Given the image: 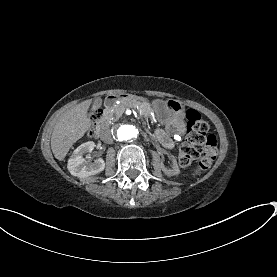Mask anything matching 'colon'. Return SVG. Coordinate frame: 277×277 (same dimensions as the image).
Segmentation results:
<instances>
[{
	"instance_id": "colon-1",
	"label": "colon",
	"mask_w": 277,
	"mask_h": 277,
	"mask_svg": "<svg viewBox=\"0 0 277 277\" xmlns=\"http://www.w3.org/2000/svg\"><path fill=\"white\" fill-rule=\"evenodd\" d=\"M102 113V108L95 109L92 112L91 120L94 122L100 120ZM185 118L187 121V136L180 147L178 165L185 168L196 164L195 173L199 174L207 170L214 162L217 139L213 135H207V124L196 110H188ZM97 131V126H90L85 133L86 138H94Z\"/></svg>"
}]
</instances>
